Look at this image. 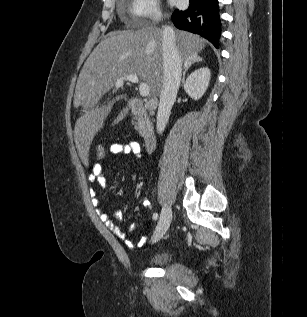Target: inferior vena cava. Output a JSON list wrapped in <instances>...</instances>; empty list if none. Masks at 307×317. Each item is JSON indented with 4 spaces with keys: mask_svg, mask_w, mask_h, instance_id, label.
Wrapping results in <instances>:
<instances>
[{
    "mask_svg": "<svg viewBox=\"0 0 307 317\" xmlns=\"http://www.w3.org/2000/svg\"><path fill=\"white\" fill-rule=\"evenodd\" d=\"M163 85L156 117L157 132L162 133L168 123L172 106L180 86L182 58L175 45V34L170 26L162 32Z\"/></svg>",
    "mask_w": 307,
    "mask_h": 317,
    "instance_id": "1",
    "label": "inferior vena cava"
}]
</instances>
